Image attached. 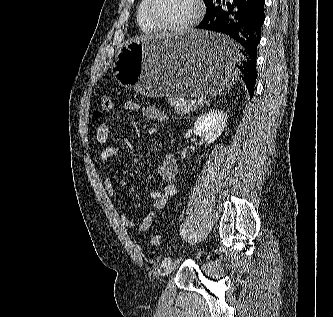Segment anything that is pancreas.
I'll return each mask as SVG.
<instances>
[{
	"label": "pancreas",
	"instance_id": "obj_1",
	"mask_svg": "<svg viewBox=\"0 0 333 317\" xmlns=\"http://www.w3.org/2000/svg\"><path fill=\"white\" fill-rule=\"evenodd\" d=\"M168 104L174 108V110L179 114H187L198 108L196 104H191L190 100L184 98L171 96L168 99Z\"/></svg>",
	"mask_w": 333,
	"mask_h": 317
}]
</instances>
